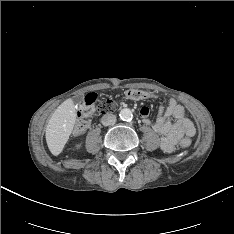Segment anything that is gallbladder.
<instances>
[{
  "mask_svg": "<svg viewBox=\"0 0 234 234\" xmlns=\"http://www.w3.org/2000/svg\"><path fill=\"white\" fill-rule=\"evenodd\" d=\"M82 100H83V97L81 95H78V96H75L74 97V102L77 104V105H80L82 103Z\"/></svg>",
  "mask_w": 234,
  "mask_h": 234,
  "instance_id": "bac80fb5",
  "label": "gallbladder"
}]
</instances>
